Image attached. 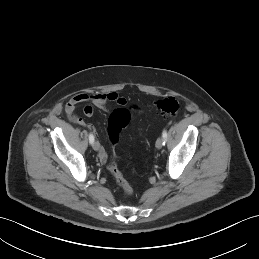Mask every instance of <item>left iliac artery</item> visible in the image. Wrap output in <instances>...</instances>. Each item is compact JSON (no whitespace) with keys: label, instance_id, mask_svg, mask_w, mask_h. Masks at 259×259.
<instances>
[{"label":"left iliac artery","instance_id":"44dca946","mask_svg":"<svg viewBox=\"0 0 259 259\" xmlns=\"http://www.w3.org/2000/svg\"><path fill=\"white\" fill-rule=\"evenodd\" d=\"M162 137H163V139H164L163 144L165 145V141H166V139H167V131H166V130H164V131L162 132Z\"/></svg>","mask_w":259,"mask_h":259}]
</instances>
